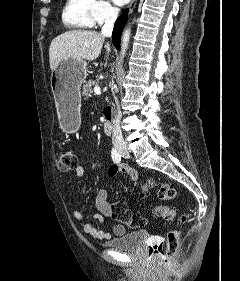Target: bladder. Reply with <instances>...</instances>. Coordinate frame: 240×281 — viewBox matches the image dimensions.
Listing matches in <instances>:
<instances>
[{"label":"bladder","mask_w":240,"mask_h":281,"mask_svg":"<svg viewBox=\"0 0 240 281\" xmlns=\"http://www.w3.org/2000/svg\"><path fill=\"white\" fill-rule=\"evenodd\" d=\"M145 238V232L133 231L122 236L112 238L107 241L105 245L121 251L139 252L143 247Z\"/></svg>","instance_id":"bladder-1"}]
</instances>
